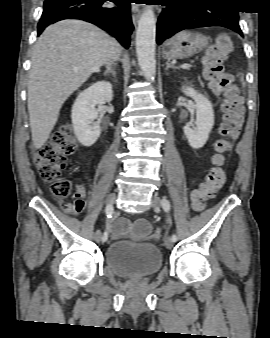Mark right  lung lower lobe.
<instances>
[{
    "label": "right lung lower lobe",
    "mask_w": 270,
    "mask_h": 338,
    "mask_svg": "<svg viewBox=\"0 0 270 338\" xmlns=\"http://www.w3.org/2000/svg\"><path fill=\"white\" fill-rule=\"evenodd\" d=\"M108 1L117 7H107ZM130 0H45L38 23V35L50 24L63 19H81L97 25L128 48L133 24Z\"/></svg>",
    "instance_id": "right-lung-lower-lobe-1"
}]
</instances>
